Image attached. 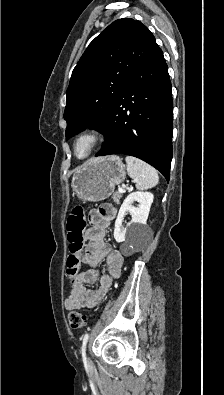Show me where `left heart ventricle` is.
<instances>
[{
	"label": "left heart ventricle",
	"instance_id": "b2bd125f",
	"mask_svg": "<svg viewBox=\"0 0 224 395\" xmlns=\"http://www.w3.org/2000/svg\"><path fill=\"white\" fill-rule=\"evenodd\" d=\"M89 148V141L88 140H81L76 148V153L78 156L82 157L84 156Z\"/></svg>",
	"mask_w": 224,
	"mask_h": 395
}]
</instances>
